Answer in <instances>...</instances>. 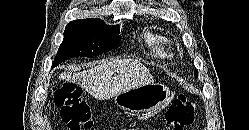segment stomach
Masks as SVG:
<instances>
[{
	"mask_svg": "<svg viewBox=\"0 0 249 130\" xmlns=\"http://www.w3.org/2000/svg\"><path fill=\"white\" fill-rule=\"evenodd\" d=\"M169 88L162 83H150L117 94L115 104L126 111L150 112L166 104Z\"/></svg>",
	"mask_w": 249,
	"mask_h": 130,
	"instance_id": "stomach-1",
	"label": "stomach"
}]
</instances>
